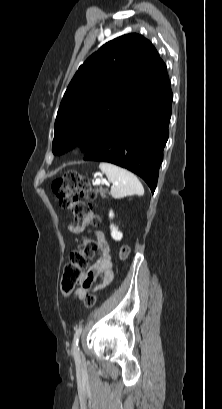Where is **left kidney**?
Here are the masks:
<instances>
[{"instance_id": "5707ae66", "label": "left kidney", "mask_w": 222, "mask_h": 409, "mask_svg": "<svg viewBox=\"0 0 222 409\" xmlns=\"http://www.w3.org/2000/svg\"><path fill=\"white\" fill-rule=\"evenodd\" d=\"M113 216H114V213H113V211L111 210L110 212H109V217L110 218H113ZM110 229H111V236H112V238L114 239V240H116V241H120L121 239H122V237H123V234L118 230V228L117 227H115L113 224L110 226Z\"/></svg>"}]
</instances>
